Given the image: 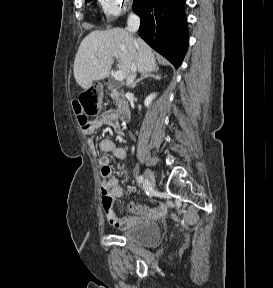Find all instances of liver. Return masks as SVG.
<instances>
[{"mask_svg": "<svg viewBox=\"0 0 273 288\" xmlns=\"http://www.w3.org/2000/svg\"><path fill=\"white\" fill-rule=\"evenodd\" d=\"M118 58V68L124 77L135 63L141 73L158 70L154 53L141 38H135L122 28L92 31L81 42L74 60V77L83 88L89 89L93 81L108 77L112 58Z\"/></svg>", "mask_w": 273, "mask_h": 288, "instance_id": "1", "label": "liver"}]
</instances>
